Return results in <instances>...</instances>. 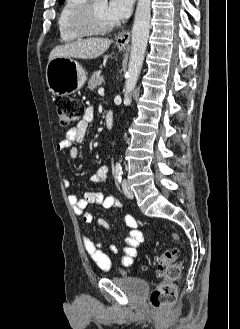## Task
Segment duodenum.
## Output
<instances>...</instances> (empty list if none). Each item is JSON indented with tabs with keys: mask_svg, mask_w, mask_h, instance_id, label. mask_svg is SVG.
I'll use <instances>...</instances> for the list:
<instances>
[{
	"mask_svg": "<svg viewBox=\"0 0 240 329\" xmlns=\"http://www.w3.org/2000/svg\"><path fill=\"white\" fill-rule=\"evenodd\" d=\"M105 124L108 130H111L114 125V116L111 110H107L105 114Z\"/></svg>",
	"mask_w": 240,
	"mask_h": 329,
	"instance_id": "410a0bca",
	"label": "duodenum"
}]
</instances>
